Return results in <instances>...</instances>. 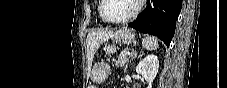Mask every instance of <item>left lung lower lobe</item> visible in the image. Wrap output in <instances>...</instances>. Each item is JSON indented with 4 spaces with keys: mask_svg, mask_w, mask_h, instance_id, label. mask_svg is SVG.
<instances>
[{
    "mask_svg": "<svg viewBox=\"0 0 227 88\" xmlns=\"http://www.w3.org/2000/svg\"><path fill=\"white\" fill-rule=\"evenodd\" d=\"M147 0L146 9L129 27L159 37L167 47L174 36L182 0Z\"/></svg>",
    "mask_w": 227,
    "mask_h": 88,
    "instance_id": "obj_1",
    "label": "left lung lower lobe"
}]
</instances>
